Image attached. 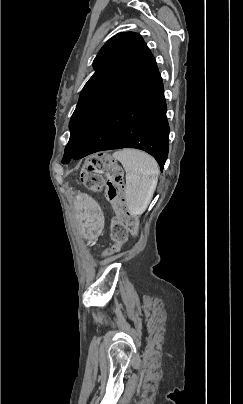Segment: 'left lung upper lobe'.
Masks as SVG:
<instances>
[{
    "mask_svg": "<svg viewBox=\"0 0 243 404\" xmlns=\"http://www.w3.org/2000/svg\"><path fill=\"white\" fill-rule=\"evenodd\" d=\"M95 73L85 84L69 123L63 161L80 148L92 126L110 107L158 72L143 38L123 32L109 39L94 59Z\"/></svg>",
    "mask_w": 243,
    "mask_h": 404,
    "instance_id": "obj_1",
    "label": "left lung upper lobe"
}]
</instances>
